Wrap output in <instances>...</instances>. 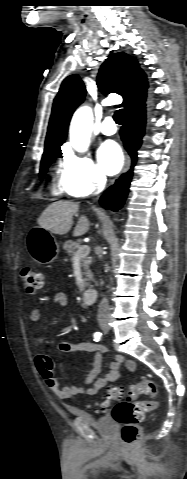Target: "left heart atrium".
Wrapping results in <instances>:
<instances>
[{
	"label": "left heart atrium",
	"instance_id": "39dd6f15",
	"mask_svg": "<svg viewBox=\"0 0 187 479\" xmlns=\"http://www.w3.org/2000/svg\"><path fill=\"white\" fill-rule=\"evenodd\" d=\"M97 156L103 170L109 175L117 174L124 163L123 153L119 145L113 141L103 143Z\"/></svg>",
	"mask_w": 187,
	"mask_h": 479
}]
</instances>
